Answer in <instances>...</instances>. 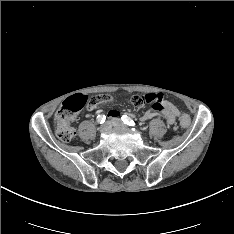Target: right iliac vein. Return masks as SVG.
I'll return each instance as SVG.
<instances>
[{"mask_svg": "<svg viewBox=\"0 0 234 234\" xmlns=\"http://www.w3.org/2000/svg\"><path fill=\"white\" fill-rule=\"evenodd\" d=\"M110 127H111V123H110V122H106L105 124H103V125L101 126L100 131H101V132H105V131L109 130Z\"/></svg>", "mask_w": 234, "mask_h": 234, "instance_id": "obj_1", "label": "right iliac vein"}]
</instances>
